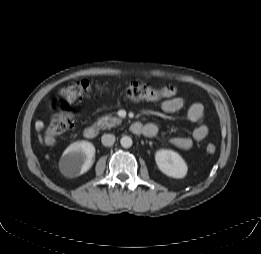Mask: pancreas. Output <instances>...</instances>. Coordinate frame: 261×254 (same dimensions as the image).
Wrapping results in <instances>:
<instances>
[{
    "instance_id": "pancreas-1",
    "label": "pancreas",
    "mask_w": 261,
    "mask_h": 254,
    "mask_svg": "<svg viewBox=\"0 0 261 254\" xmlns=\"http://www.w3.org/2000/svg\"><path fill=\"white\" fill-rule=\"evenodd\" d=\"M121 123V119L117 117H111L110 115L102 116L97 121V126L106 129L116 126Z\"/></svg>"
}]
</instances>
